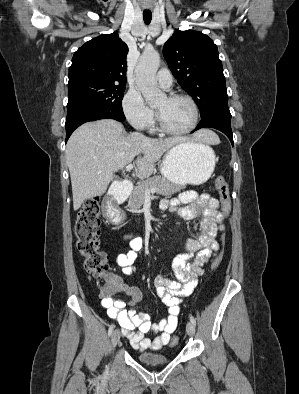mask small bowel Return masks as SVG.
Returning <instances> with one entry per match:
<instances>
[{
  "instance_id": "1",
  "label": "small bowel",
  "mask_w": 299,
  "mask_h": 394,
  "mask_svg": "<svg viewBox=\"0 0 299 394\" xmlns=\"http://www.w3.org/2000/svg\"><path fill=\"white\" fill-rule=\"evenodd\" d=\"M161 206L163 209L176 211L184 220L198 219L200 227L199 234L186 240L185 251L172 261L176 280L162 276L153 280L156 294L167 306L168 315L159 323L152 324L148 313L135 311L133 307L142 299V292L135 286L123 283L116 275L120 281L118 293L126 295L128 301L115 298L102 301V307L107 310L108 316L118 322L133 348L140 351L160 350L169 343L177 328L182 299L192 293L198 276L203 273L204 264L219 250L216 236L225 229V218L219 209V201L207 193L199 195L195 191H185L163 201ZM128 245L129 247L119 252L115 258L125 274L133 271L138 251L143 246V238L135 236ZM150 332L156 334L154 339L146 337Z\"/></svg>"
}]
</instances>
